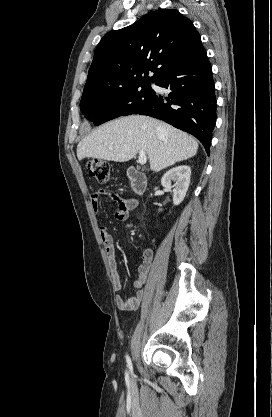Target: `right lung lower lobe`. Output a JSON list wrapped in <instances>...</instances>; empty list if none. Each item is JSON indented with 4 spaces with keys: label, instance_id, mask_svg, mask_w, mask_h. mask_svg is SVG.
Masks as SVG:
<instances>
[{
    "label": "right lung lower lobe",
    "instance_id": "right-lung-lower-lobe-1",
    "mask_svg": "<svg viewBox=\"0 0 272 417\" xmlns=\"http://www.w3.org/2000/svg\"><path fill=\"white\" fill-rule=\"evenodd\" d=\"M155 81L170 93L167 96L155 93L134 114L164 120L194 135L209 154L216 123V95L211 65L202 44L185 61Z\"/></svg>",
    "mask_w": 272,
    "mask_h": 417
}]
</instances>
